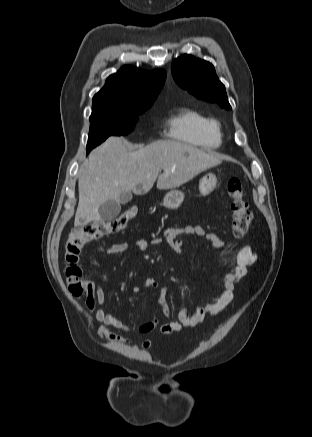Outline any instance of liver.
I'll list each match as a JSON object with an SVG mask.
<instances>
[{"mask_svg":"<svg viewBox=\"0 0 312 437\" xmlns=\"http://www.w3.org/2000/svg\"><path fill=\"white\" fill-rule=\"evenodd\" d=\"M221 162L219 154L178 141L159 140L129 152L123 137H110L80 168L74 225L99 220V207L109 200L118 201L122 192L145 194L157 178L159 190L176 188Z\"/></svg>","mask_w":312,"mask_h":437,"instance_id":"6515ba94","label":"liver"}]
</instances>
